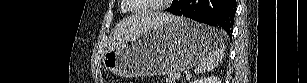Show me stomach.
<instances>
[{
    "mask_svg": "<svg viewBox=\"0 0 307 83\" xmlns=\"http://www.w3.org/2000/svg\"><path fill=\"white\" fill-rule=\"evenodd\" d=\"M211 27L184 17L148 30L103 55L104 66L123 77L180 72L203 60L213 47Z\"/></svg>",
    "mask_w": 307,
    "mask_h": 83,
    "instance_id": "obj_1",
    "label": "stomach"
}]
</instances>
